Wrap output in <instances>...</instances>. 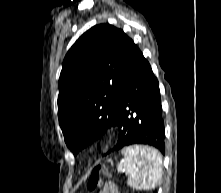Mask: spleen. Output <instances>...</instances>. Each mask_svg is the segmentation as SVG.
<instances>
[{"instance_id":"obj_1","label":"spleen","mask_w":221,"mask_h":193,"mask_svg":"<svg viewBox=\"0 0 221 193\" xmlns=\"http://www.w3.org/2000/svg\"><path fill=\"white\" fill-rule=\"evenodd\" d=\"M121 168L128 175V185L136 190L155 188L162 177V157L146 146H125Z\"/></svg>"}]
</instances>
